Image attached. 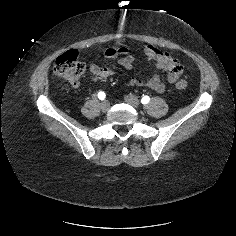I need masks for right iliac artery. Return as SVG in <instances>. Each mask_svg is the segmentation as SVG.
<instances>
[{"mask_svg": "<svg viewBox=\"0 0 236 236\" xmlns=\"http://www.w3.org/2000/svg\"><path fill=\"white\" fill-rule=\"evenodd\" d=\"M105 97H106V95H105V93H104L103 91H100V92L98 93V98H99L100 100H104Z\"/></svg>", "mask_w": 236, "mask_h": 236, "instance_id": "82829eb1", "label": "right iliac artery"}]
</instances>
